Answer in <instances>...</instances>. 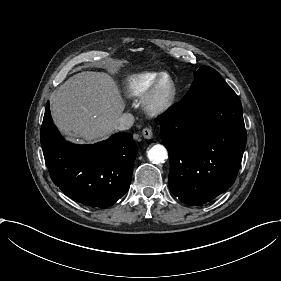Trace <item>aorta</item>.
Here are the masks:
<instances>
[{"mask_svg": "<svg viewBox=\"0 0 281 281\" xmlns=\"http://www.w3.org/2000/svg\"><path fill=\"white\" fill-rule=\"evenodd\" d=\"M147 156L152 163L161 164L168 158V153L163 145L156 144L148 151Z\"/></svg>", "mask_w": 281, "mask_h": 281, "instance_id": "aorta-1", "label": "aorta"}]
</instances>
